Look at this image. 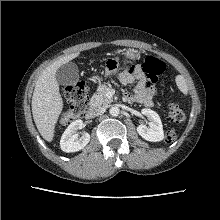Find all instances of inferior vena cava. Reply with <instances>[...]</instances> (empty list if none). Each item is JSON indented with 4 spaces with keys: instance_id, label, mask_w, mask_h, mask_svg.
<instances>
[{
    "instance_id": "inferior-vena-cava-1",
    "label": "inferior vena cava",
    "mask_w": 220,
    "mask_h": 220,
    "mask_svg": "<svg viewBox=\"0 0 220 220\" xmlns=\"http://www.w3.org/2000/svg\"><path fill=\"white\" fill-rule=\"evenodd\" d=\"M104 111L103 108H91L90 114L91 115H100Z\"/></svg>"
}]
</instances>
